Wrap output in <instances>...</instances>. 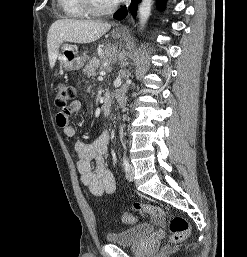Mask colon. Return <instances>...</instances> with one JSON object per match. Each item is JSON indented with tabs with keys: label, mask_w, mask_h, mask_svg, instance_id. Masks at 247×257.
Returning a JSON list of instances; mask_svg holds the SVG:
<instances>
[{
	"label": "colon",
	"mask_w": 247,
	"mask_h": 257,
	"mask_svg": "<svg viewBox=\"0 0 247 257\" xmlns=\"http://www.w3.org/2000/svg\"><path fill=\"white\" fill-rule=\"evenodd\" d=\"M56 94V105L60 108V112H67L75 98L76 91L74 87L66 83H58L55 86ZM133 209L136 213L141 215H150L154 219L160 220L164 217L170 218V244H178L183 242L190 234L191 227L188 220L180 215H173L166 212L159 206L143 203H134ZM125 223L132 224L136 221V216L134 214H125L123 216Z\"/></svg>",
	"instance_id": "obj_1"
}]
</instances>
